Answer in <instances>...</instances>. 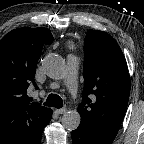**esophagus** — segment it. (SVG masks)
<instances>
[{
	"label": "esophagus",
	"instance_id": "esophagus-1",
	"mask_svg": "<svg viewBox=\"0 0 144 144\" xmlns=\"http://www.w3.org/2000/svg\"><path fill=\"white\" fill-rule=\"evenodd\" d=\"M66 111H67V109L65 107L60 108V109H56V113L59 115L64 114Z\"/></svg>",
	"mask_w": 144,
	"mask_h": 144
}]
</instances>
